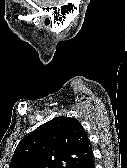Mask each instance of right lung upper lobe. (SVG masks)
<instances>
[{
    "label": "right lung upper lobe",
    "mask_w": 127,
    "mask_h": 168,
    "mask_svg": "<svg viewBox=\"0 0 127 168\" xmlns=\"http://www.w3.org/2000/svg\"><path fill=\"white\" fill-rule=\"evenodd\" d=\"M92 156L90 141L81 123L60 116L20 141L9 168H74Z\"/></svg>",
    "instance_id": "right-lung-upper-lobe-1"
}]
</instances>
